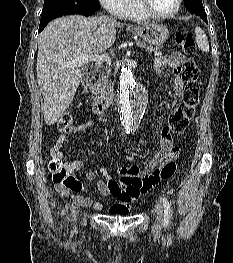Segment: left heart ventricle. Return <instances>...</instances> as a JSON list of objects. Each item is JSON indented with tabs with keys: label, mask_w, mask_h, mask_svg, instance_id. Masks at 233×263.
Segmentation results:
<instances>
[{
	"label": "left heart ventricle",
	"mask_w": 233,
	"mask_h": 263,
	"mask_svg": "<svg viewBox=\"0 0 233 263\" xmlns=\"http://www.w3.org/2000/svg\"><path fill=\"white\" fill-rule=\"evenodd\" d=\"M153 10L158 13H169L176 7L177 0H148Z\"/></svg>",
	"instance_id": "obj_1"
}]
</instances>
